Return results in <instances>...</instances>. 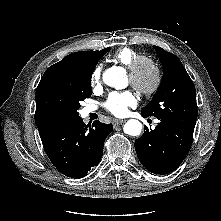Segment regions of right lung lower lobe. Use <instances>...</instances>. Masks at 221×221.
Instances as JSON below:
<instances>
[{
    "label": "right lung lower lobe",
    "mask_w": 221,
    "mask_h": 221,
    "mask_svg": "<svg viewBox=\"0 0 221 221\" xmlns=\"http://www.w3.org/2000/svg\"><path fill=\"white\" fill-rule=\"evenodd\" d=\"M113 130L100 121L85 125L82 118L51 125L39 130L44 150L53 165L71 178H83L96 166L103 154V145Z\"/></svg>",
    "instance_id": "obj_1"
}]
</instances>
